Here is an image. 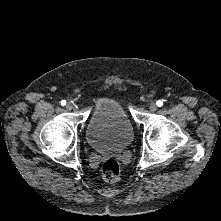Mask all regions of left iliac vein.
I'll use <instances>...</instances> for the list:
<instances>
[{"label":"left iliac vein","instance_id":"obj_1","mask_svg":"<svg viewBox=\"0 0 221 221\" xmlns=\"http://www.w3.org/2000/svg\"><path fill=\"white\" fill-rule=\"evenodd\" d=\"M149 109L154 112L157 110V105L155 103H151L150 106H149Z\"/></svg>","mask_w":221,"mask_h":221}]
</instances>
